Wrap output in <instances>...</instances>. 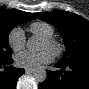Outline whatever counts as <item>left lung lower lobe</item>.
Returning <instances> with one entry per match:
<instances>
[{
	"instance_id": "0a47b994",
	"label": "left lung lower lobe",
	"mask_w": 89,
	"mask_h": 89,
	"mask_svg": "<svg viewBox=\"0 0 89 89\" xmlns=\"http://www.w3.org/2000/svg\"><path fill=\"white\" fill-rule=\"evenodd\" d=\"M60 71L47 70L45 81L39 89H89V59L55 65Z\"/></svg>"
}]
</instances>
